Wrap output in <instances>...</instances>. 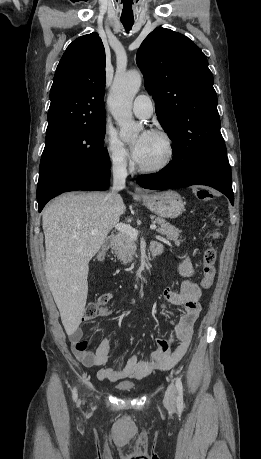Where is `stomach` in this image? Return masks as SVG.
Masks as SVG:
<instances>
[{
    "label": "stomach",
    "mask_w": 261,
    "mask_h": 459,
    "mask_svg": "<svg viewBox=\"0 0 261 459\" xmlns=\"http://www.w3.org/2000/svg\"><path fill=\"white\" fill-rule=\"evenodd\" d=\"M142 200L152 212L163 218L174 219L184 211L182 197L173 190L150 193L142 196Z\"/></svg>",
    "instance_id": "0dacf381"
}]
</instances>
